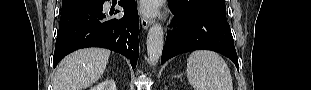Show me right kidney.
Listing matches in <instances>:
<instances>
[{"instance_id": "obj_1", "label": "right kidney", "mask_w": 311, "mask_h": 90, "mask_svg": "<svg viewBox=\"0 0 311 90\" xmlns=\"http://www.w3.org/2000/svg\"><path fill=\"white\" fill-rule=\"evenodd\" d=\"M108 89L116 90L115 83L112 80L103 82L95 86L94 88H91V90H108Z\"/></svg>"}]
</instances>
